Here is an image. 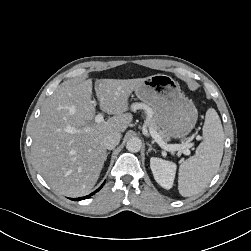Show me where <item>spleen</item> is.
Wrapping results in <instances>:
<instances>
[{
    "instance_id": "3e777b00",
    "label": "spleen",
    "mask_w": 251,
    "mask_h": 251,
    "mask_svg": "<svg viewBox=\"0 0 251 251\" xmlns=\"http://www.w3.org/2000/svg\"><path fill=\"white\" fill-rule=\"evenodd\" d=\"M224 132L216 110L209 108L203 126V141L195 155L179 167L178 190L181 196L201 193L217 173L224 148Z\"/></svg>"
}]
</instances>
